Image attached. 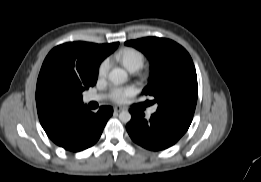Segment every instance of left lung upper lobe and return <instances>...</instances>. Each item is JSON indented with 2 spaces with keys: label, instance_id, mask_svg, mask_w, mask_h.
I'll list each match as a JSON object with an SVG mask.
<instances>
[{
  "label": "left lung upper lobe",
  "instance_id": "5c2ea615",
  "mask_svg": "<svg viewBox=\"0 0 261 182\" xmlns=\"http://www.w3.org/2000/svg\"><path fill=\"white\" fill-rule=\"evenodd\" d=\"M143 52L152 65L149 84L142 94L154 97L158 113L193 117L197 96V75L189 53L176 42L146 37L125 42Z\"/></svg>",
  "mask_w": 261,
  "mask_h": 182
}]
</instances>
